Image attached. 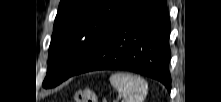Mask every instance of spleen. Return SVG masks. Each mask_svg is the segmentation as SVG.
<instances>
[{"label": "spleen", "instance_id": "1", "mask_svg": "<svg viewBox=\"0 0 221 102\" xmlns=\"http://www.w3.org/2000/svg\"><path fill=\"white\" fill-rule=\"evenodd\" d=\"M110 83L124 102H143L147 95L148 84L138 75L126 72L115 73L110 77Z\"/></svg>", "mask_w": 221, "mask_h": 102}]
</instances>
